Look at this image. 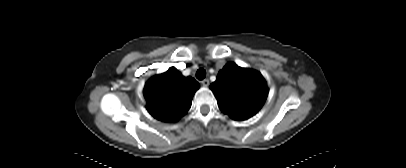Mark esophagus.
<instances>
[{
  "instance_id": "34e87169",
  "label": "esophagus",
  "mask_w": 406,
  "mask_h": 168,
  "mask_svg": "<svg viewBox=\"0 0 406 168\" xmlns=\"http://www.w3.org/2000/svg\"><path fill=\"white\" fill-rule=\"evenodd\" d=\"M202 85L204 86V87H208L209 86V80L208 79H204V80H202Z\"/></svg>"
}]
</instances>
